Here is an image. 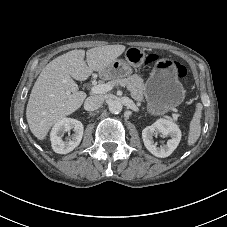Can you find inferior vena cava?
I'll return each instance as SVG.
<instances>
[{"instance_id":"602c4592","label":"inferior vena cava","mask_w":227,"mask_h":227,"mask_svg":"<svg viewBox=\"0 0 227 227\" xmlns=\"http://www.w3.org/2000/svg\"><path fill=\"white\" fill-rule=\"evenodd\" d=\"M104 98L100 95H93L88 97L84 102V109L87 111L97 110L102 106Z\"/></svg>"}]
</instances>
